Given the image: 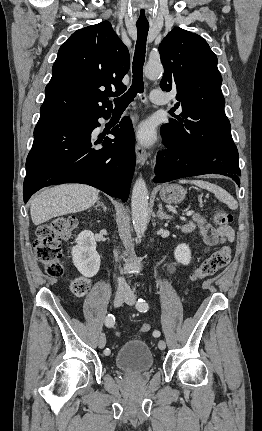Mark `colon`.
<instances>
[{
  "label": "colon",
  "instance_id": "colon-1",
  "mask_svg": "<svg viewBox=\"0 0 262 431\" xmlns=\"http://www.w3.org/2000/svg\"><path fill=\"white\" fill-rule=\"evenodd\" d=\"M232 216L223 209H216L213 214V222L216 226L225 227L231 224ZM77 225L73 217H58L50 223L38 227L34 240V249L38 261L43 265L47 274L59 278L64 274L62 261L63 253L61 243L69 238ZM231 259V249L228 245H222L209 257L203 260L191 275L192 282H199L204 278L214 275L224 268ZM88 289V282L83 278H77L72 283V290L76 297H82ZM151 325L145 323L140 331L147 333Z\"/></svg>",
  "mask_w": 262,
  "mask_h": 431
}]
</instances>
